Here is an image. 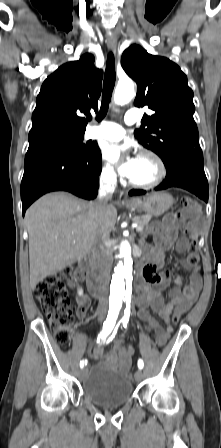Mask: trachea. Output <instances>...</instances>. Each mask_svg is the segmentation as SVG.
<instances>
[{"instance_id":"3493384b","label":"trachea","mask_w":221,"mask_h":448,"mask_svg":"<svg viewBox=\"0 0 221 448\" xmlns=\"http://www.w3.org/2000/svg\"><path fill=\"white\" fill-rule=\"evenodd\" d=\"M115 80H116V72H115L114 55L112 52H110L107 57L106 70L104 75L101 107L96 117L98 121H101L107 114L109 104L111 102L112 92L115 86Z\"/></svg>"}]
</instances>
